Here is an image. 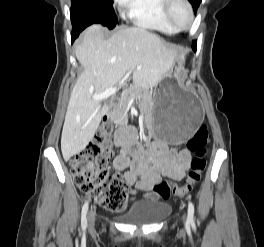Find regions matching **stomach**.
Listing matches in <instances>:
<instances>
[{
  "instance_id": "0dacf381",
  "label": "stomach",
  "mask_w": 264,
  "mask_h": 247,
  "mask_svg": "<svg viewBox=\"0 0 264 247\" xmlns=\"http://www.w3.org/2000/svg\"><path fill=\"white\" fill-rule=\"evenodd\" d=\"M182 63L170 67L172 76H166L153 92V133L176 147L183 141H190L195 129L203 119V110L197 98L184 91L176 79Z\"/></svg>"
}]
</instances>
